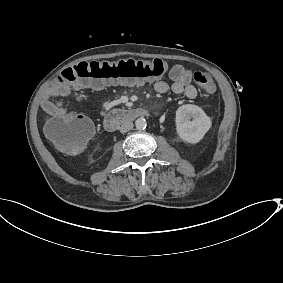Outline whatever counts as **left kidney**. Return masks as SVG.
Masks as SVG:
<instances>
[{
  "label": "left kidney",
  "mask_w": 283,
  "mask_h": 283,
  "mask_svg": "<svg viewBox=\"0 0 283 283\" xmlns=\"http://www.w3.org/2000/svg\"><path fill=\"white\" fill-rule=\"evenodd\" d=\"M175 121L179 137L189 143H198L212 124L206 113L192 104L180 106L176 111Z\"/></svg>",
  "instance_id": "1"
}]
</instances>
